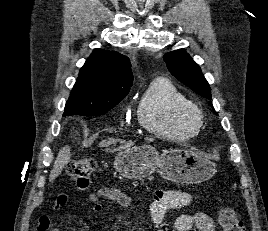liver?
Masks as SVG:
<instances>
[{
    "label": "liver",
    "mask_w": 268,
    "mask_h": 231,
    "mask_svg": "<svg viewBox=\"0 0 268 231\" xmlns=\"http://www.w3.org/2000/svg\"><path fill=\"white\" fill-rule=\"evenodd\" d=\"M117 141H119L122 144L121 149L129 148L134 145V142L132 141H125V140L110 138L108 140L101 141L99 143V146L108 147L111 144H115ZM148 141H151V140H148ZM70 159H71V149L68 145H66L63 148H61V150H59L56 160L54 161L53 168L49 175L50 182H53L59 176V174L62 172L63 168L65 167V165H67L70 162Z\"/></svg>",
    "instance_id": "liver-1"
}]
</instances>
